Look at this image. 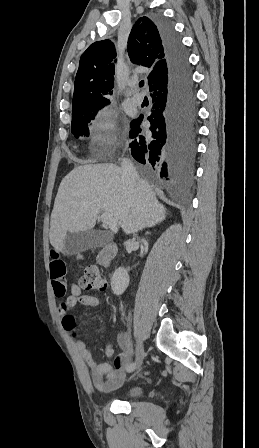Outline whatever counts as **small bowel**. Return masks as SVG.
I'll return each instance as SVG.
<instances>
[{"label": "small bowel", "instance_id": "c3829d8e", "mask_svg": "<svg viewBox=\"0 0 259 448\" xmlns=\"http://www.w3.org/2000/svg\"><path fill=\"white\" fill-rule=\"evenodd\" d=\"M49 265L54 294L61 298L65 295L67 289L65 282L66 266L56 250H51ZM78 304L98 307L100 301L95 296L83 294L78 284L72 283L70 285V294L58 306L62 327L70 333H74L76 330V321L70 311ZM117 341L120 353L115 357L113 367L107 363L97 362L84 341L78 340L76 342V348L88 367L87 383L93 384L95 388L103 392L113 391L124 383L125 370H127L132 358V347L128 336L121 333L118 335ZM104 353L108 358L113 357V347L107 345Z\"/></svg>", "mask_w": 259, "mask_h": 448}]
</instances>
